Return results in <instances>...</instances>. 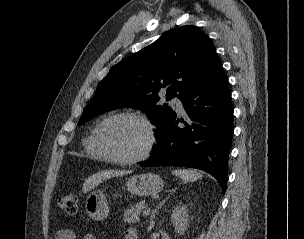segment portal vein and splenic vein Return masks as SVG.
I'll return each mask as SVG.
<instances>
[{"mask_svg": "<svg viewBox=\"0 0 304 239\" xmlns=\"http://www.w3.org/2000/svg\"><path fill=\"white\" fill-rule=\"evenodd\" d=\"M150 213V208H147L143 211V215L146 216Z\"/></svg>", "mask_w": 304, "mask_h": 239, "instance_id": "obj_1", "label": "portal vein and splenic vein"}]
</instances>
